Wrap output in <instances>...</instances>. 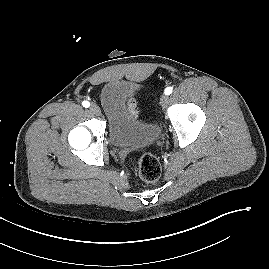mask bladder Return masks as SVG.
I'll return each mask as SVG.
<instances>
[{"label":"bladder","instance_id":"1","mask_svg":"<svg viewBox=\"0 0 269 269\" xmlns=\"http://www.w3.org/2000/svg\"><path fill=\"white\" fill-rule=\"evenodd\" d=\"M136 90L131 82L115 80L106 83L100 91L101 104L109 120V139L116 147H146L160 136L158 121H141L131 112L129 101Z\"/></svg>","mask_w":269,"mask_h":269}]
</instances>
